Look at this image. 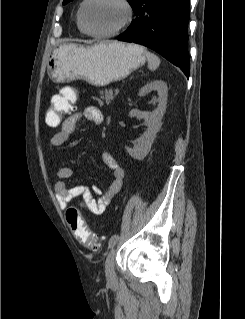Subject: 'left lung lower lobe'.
Masks as SVG:
<instances>
[{"mask_svg":"<svg viewBox=\"0 0 245 319\" xmlns=\"http://www.w3.org/2000/svg\"><path fill=\"white\" fill-rule=\"evenodd\" d=\"M190 0H139L136 19L117 40L149 47L189 76L188 21Z\"/></svg>","mask_w":245,"mask_h":319,"instance_id":"obj_1","label":"left lung lower lobe"}]
</instances>
